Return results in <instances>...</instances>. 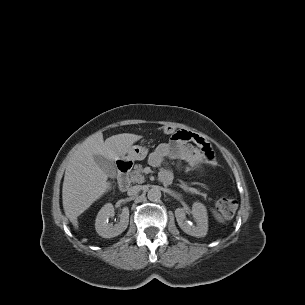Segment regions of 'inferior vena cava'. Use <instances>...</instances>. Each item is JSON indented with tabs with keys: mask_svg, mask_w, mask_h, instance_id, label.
<instances>
[{
	"mask_svg": "<svg viewBox=\"0 0 305 305\" xmlns=\"http://www.w3.org/2000/svg\"><path fill=\"white\" fill-rule=\"evenodd\" d=\"M141 189H142V186H140V185L132 186L128 189L127 194L129 196L136 195L137 193H139L141 191Z\"/></svg>",
	"mask_w": 305,
	"mask_h": 305,
	"instance_id": "602c4592",
	"label": "inferior vena cava"
}]
</instances>
